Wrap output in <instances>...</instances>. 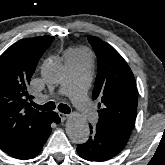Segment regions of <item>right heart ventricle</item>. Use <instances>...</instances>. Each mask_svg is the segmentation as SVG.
<instances>
[{"label": "right heart ventricle", "instance_id": "1", "mask_svg": "<svg viewBox=\"0 0 165 165\" xmlns=\"http://www.w3.org/2000/svg\"><path fill=\"white\" fill-rule=\"evenodd\" d=\"M71 53H78V52L74 51V52H71Z\"/></svg>", "mask_w": 165, "mask_h": 165}]
</instances>
